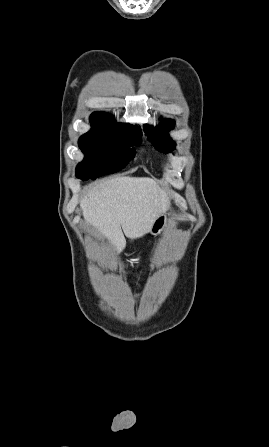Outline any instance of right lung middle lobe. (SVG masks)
<instances>
[{
    "mask_svg": "<svg viewBox=\"0 0 269 447\" xmlns=\"http://www.w3.org/2000/svg\"><path fill=\"white\" fill-rule=\"evenodd\" d=\"M141 136L139 127L92 124V129L79 139L85 158L77 165V178L95 179L120 171L134 158L135 150L131 147L141 143Z\"/></svg>",
    "mask_w": 269,
    "mask_h": 447,
    "instance_id": "right-lung-middle-lobe-1",
    "label": "right lung middle lobe"
}]
</instances>
